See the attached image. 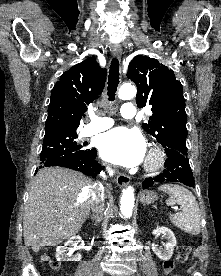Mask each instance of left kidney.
<instances>
[{
    "label": "left kidney",
    "instance_id": "left-kidney-1",
    "mask_svg": "<svg viewBox=\"0 0 221 276\" xmlns=\"http://www.w3.org/2000/svg\"><path fill=\"white\" fill-rule=\"evenodd\" d=\"M153 234H162L163 237L167 239V243L165 245V249L161 250L157 247H152L153 252L163 260L170 259L173 255L174 247L176 246V238L174 233L167 227H157L153 230Z\"/></svg>",
    "mask_w": 221,
    "mask_h": 276
}]
</instances>
